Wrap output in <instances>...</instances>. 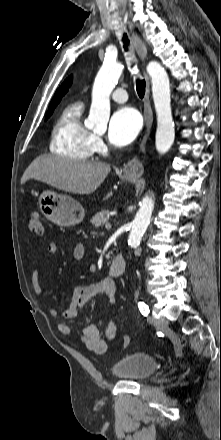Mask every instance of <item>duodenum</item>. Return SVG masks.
I'll list each match as a JSON object with an SVG mask.
<instances>
[{
    "label": "duodenum",
    "instance_id": "duodenum-1",
    "mask_svg": "<svg viewBox=\"0 0 221 440\" xmlns=\"http://www.w3.org/2000/svg\"><path fill=\"white\" fill-rule=\"evenodd\" d=\"M126 270V261L122 255L117 254L111 262L110 273L112 276H120Z\"/></svg>",
    "mask_w": 221,
    "mask_h": 440
}]
</instances>
